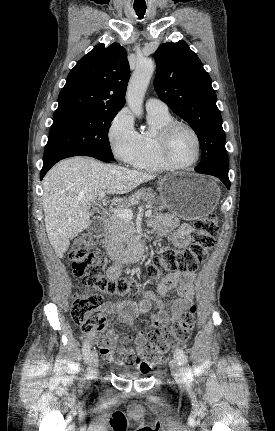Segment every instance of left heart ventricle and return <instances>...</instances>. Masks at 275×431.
Segmentation results:
<instances>
[{
	"instance_id": "1",
	"label": "left heart ventricle",
	"mask_w": 275,
	"mask_h": 431,
	"mask_svg": "<svg viewBox=\"0 0 275 431\" xmlns=\"http://www.w3.org/2000/svg\"><path fill=\"white\" fill-rule=\"evenodd\" d=\"M170 154L180 165H187L195 159L196 143L190 131L185 128L176 130L171 140Z\"/></svg>"
}]
</instances>
